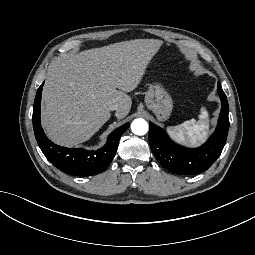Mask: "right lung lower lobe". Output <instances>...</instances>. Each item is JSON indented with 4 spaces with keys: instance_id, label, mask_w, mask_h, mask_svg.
Returning a JSON list of instances; mask_svg holds the SVG:
<instances>
[{
    "instance_id": "obj_1",
    "label": "right lung lower lobe",
    "mask_w": 255,
    "mask_h": 255,
    "mask_svg": "<svg viewBox=\"0 0 255 255\" xmlns=\"http://www.w3.org/2000/svg\"><path fill=\"white\" fill-rule=\"evenodd\" d=\"M43 84L38 88L32 117L34 134L42 152L56 168L65 173L75 176H91L101 173L114 158L119 139L128 129L129 123L113 131L109 135L107 143L96 151L58 146L45 136L40 124V102Z\"/></svg>"
}]
</instances>
